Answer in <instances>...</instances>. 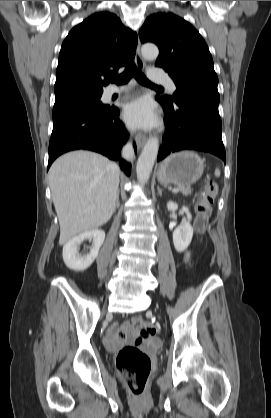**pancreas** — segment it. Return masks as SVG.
Segmentation results:
<instances>
[{
    "instance_id": "pancreas-1",
    "label": "pancreas",
    "mask_w": 271,
    "mask_h": 418,
    "mask_svg": "<svg viewBox=\"0 0 271 418\" xmlns=\"http://www.w3.org/2000/svg\"><path fill=\"white\" fill-rule=\"evenodd\" d=\"M178 190L183 194V195H190L192 193V189L190 187H185V186H178Z\"/></svg>"
}]
</instances>
